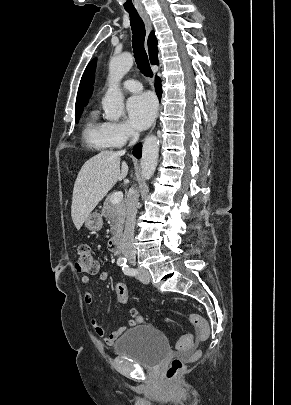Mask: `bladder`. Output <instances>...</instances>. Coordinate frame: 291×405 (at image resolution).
<instances>
[{
    "mask_svg": "<svg viewBox=\"0 0 291 405\" xmlns=\"http://www.w3.org/2000/svg\"><path fill=\"white\" fill-rule=\"evenodd\" d=\"M113 349L116 355L127 357L147 369L158 368L170 352L167 337L152 325H140L126 331Z\"/></svg>",
    "mask_w": 291,
    "mask_h": 405,
    "instance_id": "obj_1",
    "label": "bladder"
}]
</instances>
